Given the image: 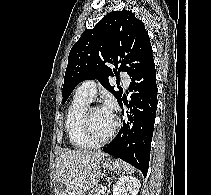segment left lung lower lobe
<instances>
[{
    "label": "left lung lower lobe",
    "mask_w": 211,
    "mask_h": 195,
    "mask_svg": "<svg viewBox=\"0 0 211 195\" xmlns=\"http://www.w3.org/2000/svg\"><path fill=\"white\" fill-rule=\"evenodd\" d=\"M131 101H120L127 105L126 120L113 141L103 151L116 156L141 170L146 176L150 159V146L153 136L157 109L156 70L153 58L131 77Z\"/></svg>",
    "instance_id": "obj_1"
}]
</instances>
